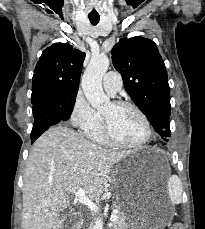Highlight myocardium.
<instances>
[{
	"instance_id": "obj_1",
	"label": "myocardium",
	"mask_w": 205,
	"mask_h": 229,
	"mask_svg": "<svg viewBox=\"0 0 205 229\" xmlns=\"http://www.w3.org/2000/svg\"><path fill=\"white\" fill-rule=\"evenodd\" d=\"M111 103L116 107L132 108L143 121V124L145 126V135L140 141L135 142V143L122 142L114 136L108 118L105 115L101 114L102 130H103V134H104L106 141L115 147L127 148V149L140 148L144 146L146 143H148L152 136V126L146 114L136 104L130 101H127V100H116Z\"/></svg>"
}]
</instances>
